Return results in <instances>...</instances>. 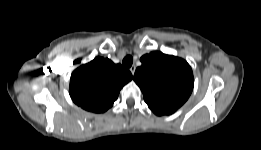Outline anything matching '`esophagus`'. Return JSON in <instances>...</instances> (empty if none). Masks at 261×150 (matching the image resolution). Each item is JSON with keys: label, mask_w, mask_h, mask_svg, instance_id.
<instances>
[{"label": "esophagus", "mask_w": 261, "mask_h": 150, "mask_svg": "<svg viewBox=\"0 0 261 150\" xmlns=\"http://www.w3.org/2000/svg\"><path fill=\"white\" fill-rule=\"evenodd\" d=\"M130 72L132 73V75H134L136 67L133 65L132 67H130Z\"/></svg>", "instance_id": "obj_1"}]
</instances>
